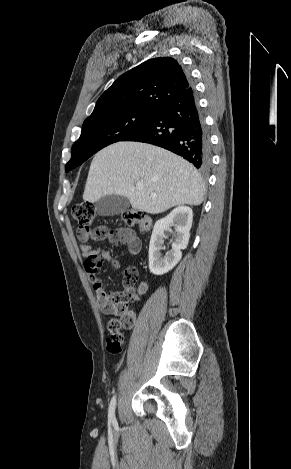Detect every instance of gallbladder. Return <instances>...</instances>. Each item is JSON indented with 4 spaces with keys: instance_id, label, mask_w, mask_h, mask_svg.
<instances>
[{
    "instance_id": "bac80fb5",
    "label": "gallbladder",
    "mask_w": 291,
    "mask_h": 469,
    "mask_svg": "<svg viewBox=\"0 0 291 469\" xmlns=\"http://www.w3.org/2000/svg\"><path fill=\"white\" fill-rule=\"evenodd\" d=\"M129 206V200L125 196L109 194L95 203V211L100 216H114L125 212Z\"/></svg>"
}]
</instances>
